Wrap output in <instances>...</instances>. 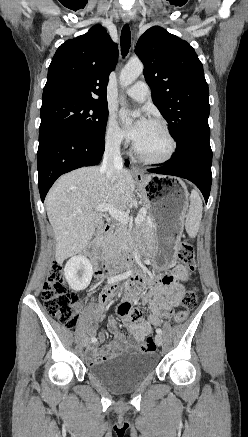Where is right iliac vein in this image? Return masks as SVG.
<instances>
[{"label": "right iliac vein", "instance_id": "63e3f726", "mask_svg": "<svg viewBox=\"0 0 248 437\" xmlns=\"http://www.w3.org/2000/svg\"><path fill=\"white\" fill-rule=\"evenodd\" d=\"M88 344H89V337L88 336L83 337V339H82L83 347L88 346Z\"/></svg>", "mask_w": 248, "mask_h": 437}]
</instances>
